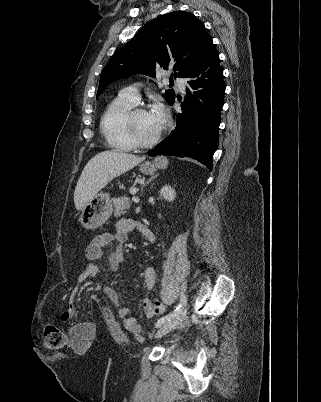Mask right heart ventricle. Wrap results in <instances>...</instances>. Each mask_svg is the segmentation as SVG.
<instances>
[{"label":"right heart ventricle","mask_w":321,"mask_h":402,"mask_svg":"<svg viewBox=\"0 0 321 402\" xmlns=\"http://www.w3.org/2000/svg\"><path fill=\"white\" fill-rule=\"evenodd\" d=\"M133 107L132 103L117 97L105 108L100 120V131L110 148L124 152L136 148L128 138L124 126L126 113Z\"/></svg>","instance_id":"right-heart-ventricle-1"}]
</instances>
